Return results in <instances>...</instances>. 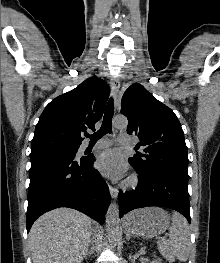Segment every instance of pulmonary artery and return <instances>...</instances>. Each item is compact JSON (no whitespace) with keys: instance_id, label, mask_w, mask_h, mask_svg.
<instances>
[{"instance_id":"obj_1","label":"pulmonary artery","mask_w":220,"mask_h":263,"mask_svg":"<svg viewBox=\"0 0 220 263\" xmlns=\"http://www.w3.org/2000/svg\"><path fill=\"white\" fill-rule=\"evenodd\" d=\"M118 141L120 143H122V144L130 145V144H132L134 142V139L130 135H128L126 133H122V134H120V136L118 138ZM110 144H111V140H109V139H101V140H99V141H97L95 143L94 147H96V148H103V147L109 146ZM88 147H89L88 143L82 145L81 151L86 150Z\"/></svg>"}]
</instances>
